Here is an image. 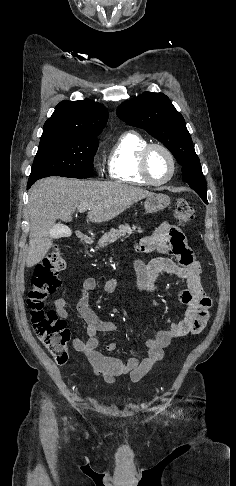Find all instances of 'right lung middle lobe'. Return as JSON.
Here are the masks:
<instances>
[{"label": "right lung middle lobe", "instance_id": "dd1d6c3e", "mask_svg": "<svg viewBox=\"0 0 236 486\" xmlns=\"http://www.w3.org/2000/svg\"><path fill=\"white\" fill-rule=\"evenodd\" d=\"M98 143L96 138L64 133H43L29 182L52 175L90 178L93 156L97 151Z\"/></svg>", "mask_w": 236, "mask_h": 486}]
</instances>
